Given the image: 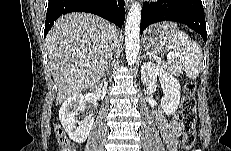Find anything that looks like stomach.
I'll return each mask as SVG.
<instances>
[{
	"mask_svg": "<svg viewBox=\"0 0 231 151\" xmlns=\"http://www.w3.org/2000/svg\"><path fill=\"white\" fill-rule=\"evenodd\" d=\"M177 30L174 23L164 22L149 27L143 36V47L151 53H164L172 48V37Z\"/></svg>",
	"mask_w": 231,
	"mask_h": 151,
	"instance_id": "stomach-1",
	"label": "stomach"
}]
</instances>
